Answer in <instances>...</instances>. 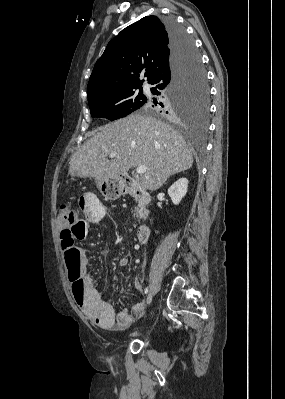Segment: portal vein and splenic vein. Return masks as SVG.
<instances>
[{
  "label": "portal vein and splenic vein",
  "instance_id": "portal-vein-and-splenic-vein-1",
  "mask_svg": "<svg viewBox=\"0 0 285 399\" xmlns=\"http://www.w3.org/2000/svg\"><path fill=\"white\" fill-rule=\"evenodd\" d=\"M110 157L111 158H114V157H116V153H111L110 154ZM146 166H143V165H139L137 168H136V173L137 174H143L145 171H146Z\"/></svg>",
  "mask_w": 285,
  "mask_h": 399
}]
</instances>
